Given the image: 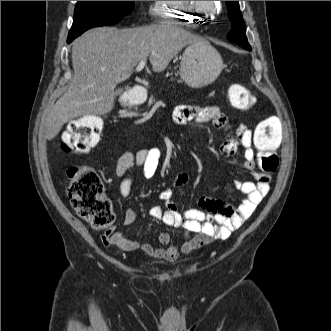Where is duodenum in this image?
<instances>
[{"instance_id": "410a0bca", "label": "duodenum", "mask_w": 331, "mask_h": 331, "mask_svg": "<svg viewBox=\"0 0 331 331\" xmlns=\"http://www.w3.org/2000/svg\"><path fill=\"white\" fill-rule=\"evenodd\" d=\"M146 97V90L141 85L134 86L125 95V100L130 104H141Z\"/></svg>"}]
</instances>
